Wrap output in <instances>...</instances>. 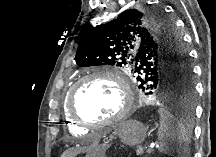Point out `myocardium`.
Here are the masks:
<instances>
[{"mask_svg":"<svg viewBox=\"0 0 216 157\" xmlns=\"http://www.w3.org/2000/svg\"><path fill=\"white\" fill-rule=\"evenodd\" d=\"M94 78H104L108 79L112 82H114L121 93V109L119 112L111 119L108 120H102V121H93V120H87L82 118L75 109L74 105V99L76 92L78 88L85 83L86 81ZM133 105V98L130 86L128 82L125 80L123 76H121L119 73H117L114 70L111 69H99L94 70L84 76H82L80 79H78L73 86L70 89V92L67 97V114L68 116L77 124L87 127V128H94V127H101V126H113L116 124H119L123 120L126 119V117L129 115Z\"/></svg>","mask_w":216,"mask_h":157,"instance_id":"1","label":"myocardium"}]
</instances>
